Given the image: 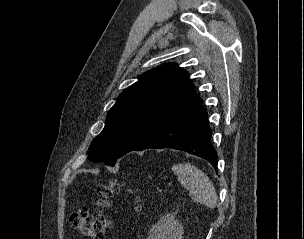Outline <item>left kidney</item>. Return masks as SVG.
I'll use <instances>...</instances> for the list:
<instances>
[{
	"label": "left kidney",
	"instance_id": "5707ae66",
	"mask_svg": "<svg viewBox=\"0 0 304 239\" xmlns=\"http://www.w3.org/2000/svg\"><path fill=\"white\" fill-rule=\"evenodd\" d=\"M183 233L182 224L175 220L173 213H168L152 226L147 239H182Z\"/></svg>",
	"mask_w": 304,
	"mask_h": 239
}]
</instances>
